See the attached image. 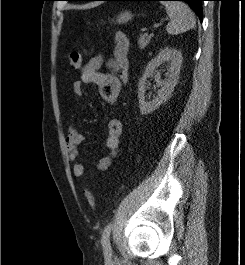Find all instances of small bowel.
Listing matches in <instances>:
<instances>
[{
    "instance_id": "small-bowel-1",
    "label": "small bowel",
    "mask_w": 245,
    "mask_h": 265,
    "mask_svg": "<svg viewBox=\"0 0 245 265\" xmlns=\"http://www.w3.org/2000/svg\"><path fill=\"white\" fill-rule=\"evenodd\" d=\"M104 59L101 55L91 58L82 68L80 79L73 84V93L82 97L84 95V85H96L101 97L109 104L115 105L118 102L121 92V80L118 76L119 67L115 59L106 62L108 72H101ZM123 124L119 119H113L108 124V134L103 142V147L108 151V155L100 158L96 167L100 171L106 170L114 156L118 154ZM84 141L83 134L74 126L68 128L66 136V147L68 158L73 163V173L76 177L84 174V166L77 161L78 146Z\"/></svg>"
}]
</instances>
